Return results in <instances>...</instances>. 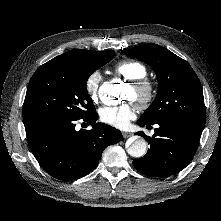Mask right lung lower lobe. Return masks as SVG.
Here are the masks:
<instances>
[{"instance_id":"obj_1","label":"right lung lower lobe","mask_w":221,"mask_h":221,"mask_svg":"<svg viewBox=\"0 0 221 221\" xmlns=\"http://www.w3.org/2000/svg\"><path fill=\"white\" fill-rule=\"evenodd\" d=\"M82 119L92 125L91 130L76 131L78 119H23L34 157L56 179L70 181L87 175L97 166L104 149L122 139L119 130L96 123V112Z\"/></svg>"}]
</instances>
